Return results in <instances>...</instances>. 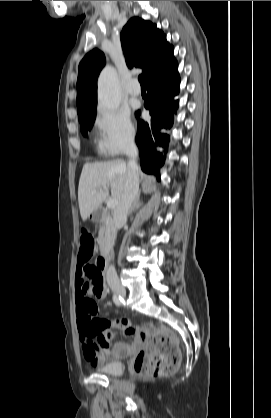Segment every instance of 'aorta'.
Listing matches in <instances>:
<instances>
[{
	"mask_svg": "<svg viewBox=\"0 0 271 418\" xmlns=\"http://www.w3.org/2000/svg\"><path fill=\"white\" fill-rule=\"evenodd\" d=\"M98 100L101 106L116 110L120 106V89L116 71L105 67L98 78Z\"/></svg>",
	"mask_w": 271,
	"mask_h": 418,
	"instance_id": "aorta-1",
	"label": "aorta"
}]
</instances>
